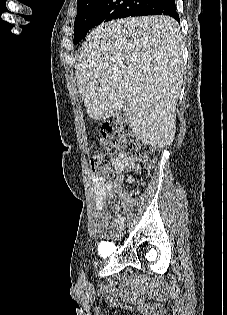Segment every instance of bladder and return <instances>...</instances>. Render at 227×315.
<instances>
[{"label":"bladder","mask_w":227,"mask_h":315,"mask_svg":"<svg viewBox=\"0 0 227 315\" xmlns=\"http://www.w3.org/2000/svg\"><path fill=\"white\" fill-rule=\"evenodd\" d=\"M100 253L101 254H108L109 253L108 248L106 246H103L102 249L100 250Z\"/></svg>","instance_id":"31cf9c89"}]
</instances>
